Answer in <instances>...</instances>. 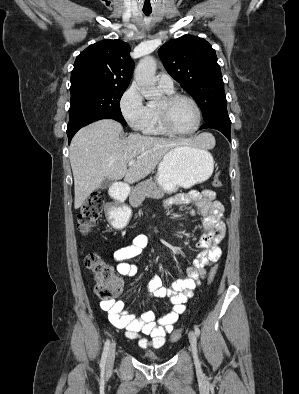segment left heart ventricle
I'll return each mask as SVG.
<instances>
[{
	"instance_id": "left-heart-ventricle-1",
	"label": "left heart ventricle",
	"mask_w": 299,
	"mask_h": 394,
	"mask_svg": "<svg viewBox=\"0 0 299 394\" xmlns=\"http://www.w3.org/2000/svg\"><path fill=\"white\" fill-rule=\"evenodd\" d=\"M170 119L175 129L189 131L195 126L197 121L195 108L187 100H178L170 108Z\"/></svg>"
}]
</instances>
